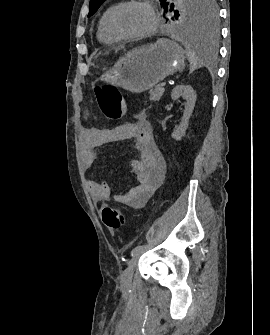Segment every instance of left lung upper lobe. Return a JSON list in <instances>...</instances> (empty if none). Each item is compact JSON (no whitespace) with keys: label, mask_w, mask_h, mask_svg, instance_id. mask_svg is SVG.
I'll list each match as a JSON object with an SVG mask.
<instances>
[{"label":"left lung upper lobe","mask_w":270,"mask_h":335,"mask_svg":"<svg viewBox=\"0 0 270 335\" xmlns=\"http://www.w3.org/2000/svg\"><path fill=\"white\" fill-rule=\"evenodd\" d=\"M105 0H90L88 17L92 16ZM161 7L166 13L169 2L160 0ZM170 11L174 12L172 20L189 30L200 32H216L217 7L215 0H179L174 5L171 3Z\"/></svg>","instance_id":"left-lung-upper-lobe-1"}]
</instances>
